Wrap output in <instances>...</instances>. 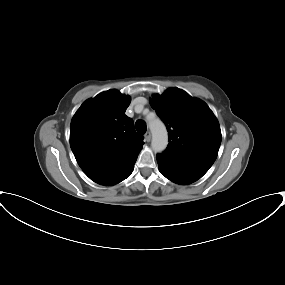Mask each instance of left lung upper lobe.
<instances>
[{
  "label": "left lung upper lobe",
  "instance_id": "obj_1",
  "mask_svg": "<svg viewBox=\"0 0 285 285\" xmlns=\"http://www.w3.org/2000/svg\"><path fill=\"white\" fill-rule=\"evenodd\" d=\"M150 105L169 132V144L163 154L209 169L217 157L222 136L208 105L178 88L154 95Z\"/></svg>",
  "mask_w": 285,
  "mask_h": 285
}]
</instances>
